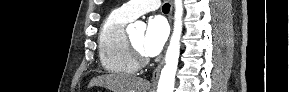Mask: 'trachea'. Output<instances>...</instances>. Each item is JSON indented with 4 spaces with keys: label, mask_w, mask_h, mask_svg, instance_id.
<instances>
[{
    "label": "trachea",
    "mask_w": 289,
    "mask_h": 92,
    "mask_svg": "<svg viewBox=\"0 0 289 92\" xmlns=\"http://www.w3.org/2000/svg\"><path fill=\"white\" fill-rule=\"evenodd\" d=\"M163 12H169L170 10V4L169 3H165L162 7Z\"/></svg>",
    "instance_id": "1"
}]
</instances>
